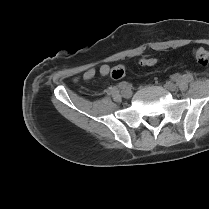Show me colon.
Returning <instances> with one entry per match:
<instances>
[{
	"instance_id": "5ec220e1",
	"label": "colon",
	"mask_w": 209,
	"mask_h": 209,
	"mask_svg": "<svg viewBox=\"0 0 209 209\" xmlns=\"http://www.w3.org/2000/svg\"><path fill=\"white\" fill-rule=\"evenodd\" d=\"M194 58L197 64L203 67H207L209 65V50L205 48H197L194 51ZM157 63L155 58H144L140 60V65L151 67ZM125 74V68L123 66H115L112 68L110 72V76L114 80L121 79Z\"/></svg>"
}]
</instances>
